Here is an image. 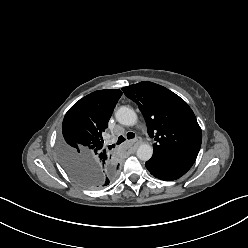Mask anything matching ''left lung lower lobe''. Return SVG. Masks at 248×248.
<instances>
[{
    "instance_id": "0a47b994",
    "label": "left lung lower lobe",
    "mask_w": 248,
    "mask_h": 248,
    "mask_svg": "<svg viewBox=\"0 0 248 248\" xmlns=\"http://www.w3.org/2000/svg\"><path fill=\"white\" fill-rule=\"evenodd\" d=\"M195 156L162 159L152 156L145 164L149 172L164 181H173L184 175L194 164Z\"/></svg>"
}]
</instances>
